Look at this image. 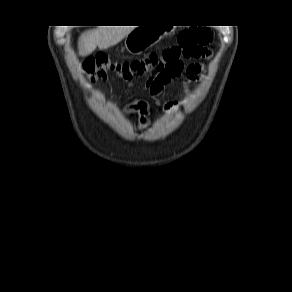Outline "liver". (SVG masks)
<instances>
[{"label":"liver","instance_id":"1","mask_svg":"<svg viewBox=\"0 0 292 292\" xmlns=\"http://www.w3.org/2000/svg\"><path fill=\"white\" fill-rule=\"evenodd\" d=\"M134 26H100L82 34L79 40L80 53L91 54L97 47L107 49L124 39Z\"/></svg>","mask_w":292,"mask_h":292}]
</instances>
